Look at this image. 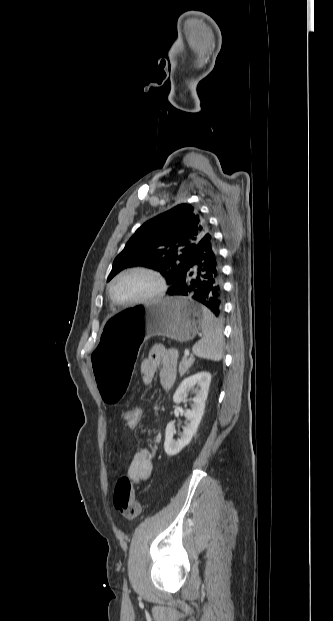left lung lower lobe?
I'll use <instances>...</instances> for the list:
<instances>
[{"instance_id": "obj_1", "label": "left lung lower lobe", "mask_w": 333, "mask_h": 621, "mask_svg": "<svg viewBox=\"0 0 333 621\" xmlns=\"http://www.w3.org/2000/svg\"><path fill=\"white\" fill-rule=\"evenodd\" d=\"M220 254L210 232L197 243L179 279L167 291L170 296H188L216 316L223 311Z\"/></svg>"}]
</instances>
